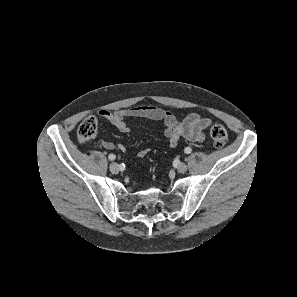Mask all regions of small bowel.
I'll return each mask as SVG.
<instances>
[{
	"label": "small bowel",
	"instance_id": "1",
	"mask_svg": "<svg viewBox=\"0 0 297 297\" xmlns=\"http://www.w3.org/2000/svg\"><path fill=\"white\" fill-rule=\"evenodd\" d=\"M98 117L109 121L120 132H129L130 127L127 124L129 118H146L153 121L161 122L164 126V135L170 146H176L181 139L191 142H201L204 140L205 130L210 121L196 113L187 115L179 120L175 115L153 105H138L117 111L100 110ZM105 149L115 148V144L102 140L99 142ZM118 148L125 150V146L118 145ZM148 148H143L137 152V156L142 158L148 155Z\"/></svg>",
	"mask_w": 297,
	"mask_h": 297
}]
</instances>
